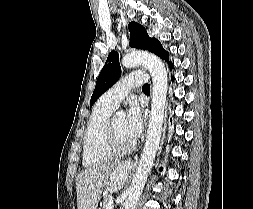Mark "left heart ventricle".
I'll return each mask as SVG.
<instances>
[{"instance_id":"1","label":"left heart ventricle","mask_w":253,"mask_h":209,"mask_svg":"<svg viewBox=\"0 0 253 209\" xmlns=\"http://www.w3.org/2000/svg\"><path fill=\"white\" fill-rule=\"evenodd\" d=\"M113 129L120 147H128L133 143L126 135L124 117H114Z\"/></svg>"}]
</instances>
